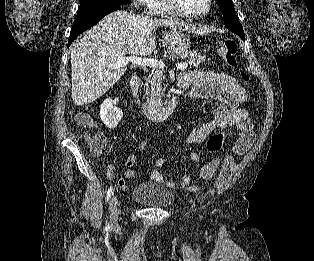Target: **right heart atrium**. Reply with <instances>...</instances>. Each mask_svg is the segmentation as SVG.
<instances>
[{
    "label": "right heart atrium",
    "instance_id": "d8ad5b80",
    "mask_svg": "<svg viewBox=\"0 0 314 261\" xmlns=\"http://www.w3.org/2000/svg\"><path fill=\"white\" fill-rule=\"evenodd\" d=\"M139 6H145L148 9H152L158 0H134Z\"/></svg>",
    "mask_w": 314,
    "mask_h": 261
}]
</instances>
